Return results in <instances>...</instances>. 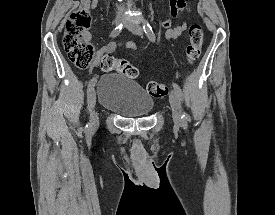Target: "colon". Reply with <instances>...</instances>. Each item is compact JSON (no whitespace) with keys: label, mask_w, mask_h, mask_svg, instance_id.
<instances>
[{"label":"colon","mask_w":275,"mask_h":215,"mask_svg":"<svg viewBox=\"0 0 275 215\" xmlns=\"http://www.w3.org/2000/svg\"><path fill=\"white\" fill-rule=\"evenodd\" d=\"M92 0H80L79 6L72 11L65 23L63 46L69 59L79 67H87L93 62V49L89 41L86 28L90 24V7ZM203 42L202 26L198 23L190 25L185 57L188 64L200 58ZM103 71H117L123 76L133 79L138 76L137 68L124 58H116L105 54L100 61ZM147 92L154 98L168 94V86L162 81H150L146 86Z\"/></svg>","instance_id":"obj_1"}]
</instances>
